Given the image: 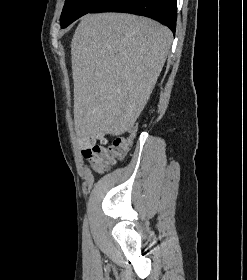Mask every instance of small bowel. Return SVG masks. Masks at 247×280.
Here are the masks:
<instances>
[{"label": "small bowel", "mask_w": 247, "mask_h": 280, "mask_svg": "<svg viewBox=\"0 0 247 280\" xmlns=\"http://www.w3.org/2000/svg\"><path fill=\"white\" fill-rule=\"evenodd\" d=\"M78 142L82 148L84 156H86L94 146L99 145L97 144L98 142L101 144L107 143V132L104 130H97L94 132L81 130Z\"/></svg>", "instance_id": "obj_1"}]
</instances>
